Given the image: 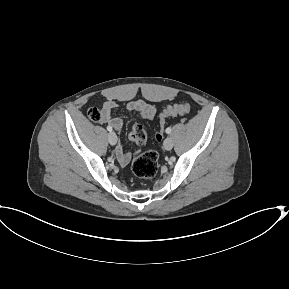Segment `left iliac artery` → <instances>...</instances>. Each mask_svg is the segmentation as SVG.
Returning a JSON list of instances; mask_svg holds the SVG:
<instances>
[{
	"mask_svg": "<svg viewBox=\"0 0 289 289\" xmlns=\"http://www.w3.org/2000/svg\"><path fill=\"white\" fill-rule=\"evenodd\" d=\"M166 133H167V134L171 133V128H170V127H168V128L166 129Z\"/></svg>",
	"mask_w": 289,
	"mask_h": 289,
	"instance_id": "left-iliac-artery-1",
	"label": "left iliac artery"
}]
</instances>
